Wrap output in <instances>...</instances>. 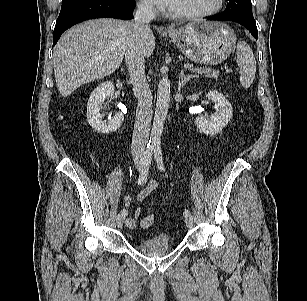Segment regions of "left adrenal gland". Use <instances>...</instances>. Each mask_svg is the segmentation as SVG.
Wrapping results in <instances>:
<instances>
[{
  "instance_id": "1",
  "label": "left adrenal gland",
  "mask_w": 307,
  "mask_h": 301,
  "mask_svg": "<svg viewBox=\"0 0 307 301\" xmlns=\"http://www.w3.org/2000/svg\"><path fill=\"white\" fill-rule=\"evenodd\" d=\"M194 77H197V76H196V75H187V76H185V75H184V72L181 71V73L179 74V80H181V85H182V87H183L184 85H186V83H187L190 79H192V78H194Z\"/></svg>"
}]
</instances>
